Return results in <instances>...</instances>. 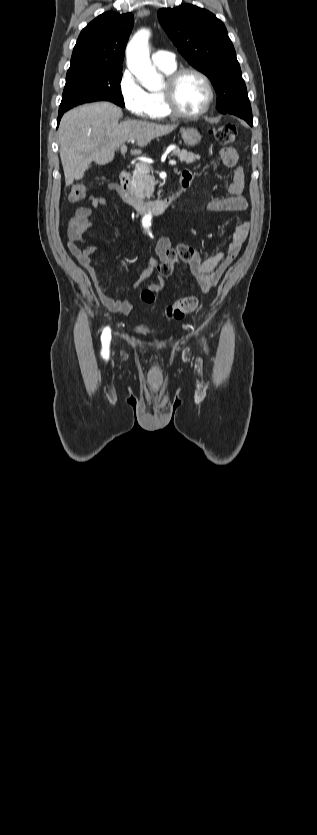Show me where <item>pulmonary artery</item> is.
<instances>
[{"mask_svg": "<svg viewBox=\"0 0 317 835\" xmlns=\"http://www.w3.org/2000/svg\"><path fill=\"white\" fill-rule=\"evenodd\" d=\"M152 61L157 67H172L176 65L175 56L166 50H157L152 54Z\"/></svg>", "mask_w": 317, "mask_h": 835, "instance_id": "pulmonary-artery-1", "label": "pulmonary artery"}]
</instances>
